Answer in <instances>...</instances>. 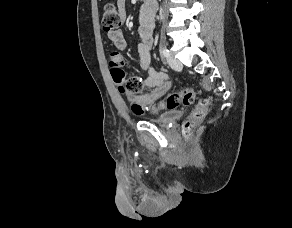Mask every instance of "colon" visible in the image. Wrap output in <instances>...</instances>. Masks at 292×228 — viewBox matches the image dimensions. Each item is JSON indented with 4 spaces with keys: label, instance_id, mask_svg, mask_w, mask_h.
<instances>
[{
    "label": "colon",
    "instance_id": "5ec220e1",
    "mask_svg": "<svg viewBox=\"0 0 292 228\" xmlns=\"http://www.w3.org/2000/svg\"><path fill=\"white\" fill-rule=\"evenodd\" d=\"M121 23L122 18L117 6L112 3L106 4L102 15V26L104 30L112 31L118 29ZM122 65V56L117 52L111 53L109 56V66L111 68V75L114 82L118 85L122 92L135 95L141 90L142 83L137 77L126 78L125 73L121 68ZM194 100V90L191 88H185L181 91L169 94L167 98L162 101L161 107L164 109L173 110L181 105L188 106L192 104ZM208 105V99L202 98L199 100L196 108L183 125V134L185 137H189L194 127L204 118ZM132 109L136 114L143 113L142 106L137 103L132 105Z\"/></svg>",
    "mask_w": 292,
    "mask_h": 228
}]
</instances>
